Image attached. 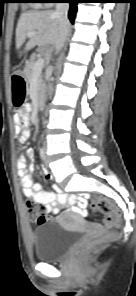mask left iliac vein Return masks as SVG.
<instances>
[{"label": "left iliac vein", "instance_id": "left-iliac-vein-1", "mask_svg": "<svg viewBox=\"0 0 136 296\" xmlns=\"http://www.w3.org/2000/svg\"><path fill=\"white\" fill-rule=\"evenodd\" d=\"M45 165L48 166V160H47V157L45 158Z\"/></svg>", "mask_w": 136, "mask_h": 296}]
</instances>
